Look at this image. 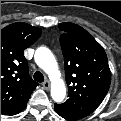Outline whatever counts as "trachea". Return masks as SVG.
<instances>
[{
  "label": "trachea",
  "mask_w": 121,
  "mask_h": 121,
  "mask_svg": "<svg viewBox=\"0 0 121 121\" xmlns=\"http://www.w3.org/2000/svg\"><path fill=\"white\" fill-rule=\"evenodd\" d=\"M33 78H34L35 81L40 82V83L44 81V76H43V74H42L41 72H39V71H36V72L34 73Z\"/></svg>",
  "instance_id": "obj_1"
}]
</instances>
